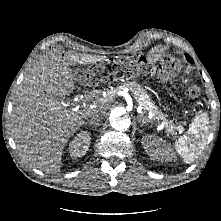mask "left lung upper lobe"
Masks as SVG:
<instances>
[{
  "label": "left lung upper lobe",
  "instance_id": "5c2ea615",
  "mask_svg": "<svg viewBox=\"0 0 221 221\" xmlns=\"http://www.w3.org/2000/svg\"><path fill=\"white\" fill-rule=\"evenodd\" d=\"M186 58H187V60H188L190 63L193 62V59H192L188 54H186Z\"/></svg>",
  "mask_w": 221,
  "mask_h": 221
}]
</instances>
